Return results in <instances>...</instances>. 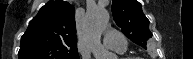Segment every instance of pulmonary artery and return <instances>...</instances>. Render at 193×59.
<instances>
[{"instance_id": "obj_1", "label": "pulmonary artery", "mask_w": 193, "mask_h": 59, "mask_svg": "<svg viewBox=\"0 0 193 59\" xmlns=\"http://www.w3.org/2000/svg\"><path fill=\"white\" fill-rule=\"evenodd\" d=\"M104 44L117 52H125L127 49L126 43L123 41V35L119 32L107 28L104 36Z\"/></svg>"}]
</instances>
